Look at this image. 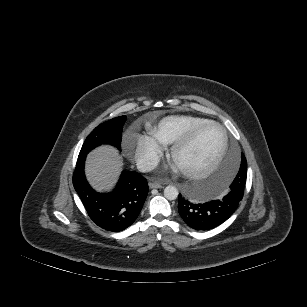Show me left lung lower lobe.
I'll return each instance as SVG.
<instances>
[{
	"label": "left lung lower lobe",
	"mask_w": 307,
	"mask_h": 307,
	"mask_svg": "<svg viewBox=\"0 0 307 307\" xmlns=\"http://www.w3.org/2000/svg\"><path fill=\"white\" fill-rule=\"evenodd\" d=\"M242 157L244 160L243 154ZM231 186L234 187L221 200L205 203L194 202L179 194V214L185 223L195 230H210L219 226L235 212L243 198L244 191L238 188V184Z\"/></svg>",
	"instance_id": "1"
}]
</instances>
